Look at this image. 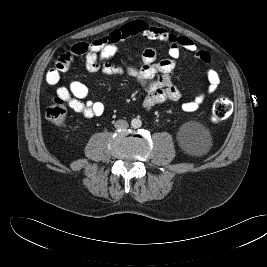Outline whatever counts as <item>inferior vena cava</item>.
Returning <instances> with one entry per match:
<instances>
[{
  "mask_svg": "<svg viewBox=\"0 0 267 267\" xmlns=\"http://www.w3.org/2000/svg\"><path fill=\"white\" fill-rule=\"evenodd\" d=\"M128 123H127V121H125V120H117L116 122H115V124H114V127L116 128V129H127L128 128Z\"/></svg>",
  "mask_w": 267,
  "mask_h": 267,
  "instance_id": "inferior-vena-cava-1",
  "label": "inferior vena cava"
}]
</instances>
